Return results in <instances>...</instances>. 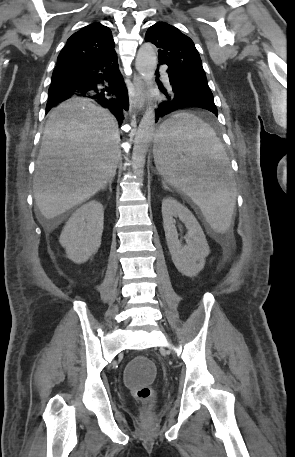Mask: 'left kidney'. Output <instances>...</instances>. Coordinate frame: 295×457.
<instances>
[{
    "label": "left kidney",
    "instance_id": "5707ae66",
    "mask_svg": "<svg viewBox=\"0 0 295 457\" xmlns=\"http://www.w3.org/2000/svg\"><path fill=\"white\" fill-rule=\"evenodd\" d=\"M163 227L167 245L174 265L183 275L196 276L205 265V258L210 249L204 232L191 211L173 198L162 201ZM179 219L187 228V244L182 246L178 239L175 219Z\"/></svg>",
    "mask_w": 295,
    "mask_h": 457
}]
</instances>
